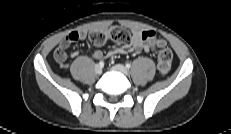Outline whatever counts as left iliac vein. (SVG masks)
Listing matches in <instances>:
<instances>
[{
    "label": "left iliac vein",
    "mask_w": 231,
    "mask_h": 134,
    "mask_svg": "<svg viewBox=\"0 0 231 134\" xmlns=\"http://www.w3.org/2000/svg\"><path fill=\"white\" fill-rule=\"evenodd\" d=\"M112 70H114V71H117V72H120V73H122V74H124V75H128V70H127V68L125 67V66H123V65H121V64H116V65H114L113 67H112Z\"/></svg>",
    "instance_id": "obj_1"
}]
</instances>
